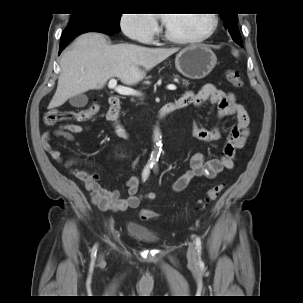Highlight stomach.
<instances>
[{
  "label": "stomach",
  "instance_id": "0dacf381",
  "mask_svg": "<svg viewBox=\"0 0 303 303\" xmlns=\"http://www.w3.org/2000/svg\"><path fill=\"white\" fill-rule=\"evenodd\" d=\"M217 57L204 45H194L182 49L175 58L176 69L190 79H202L215 67Z\"/></svg>",
  "mask_w": 303,
  "mask_h": 303
}]
</instances>
